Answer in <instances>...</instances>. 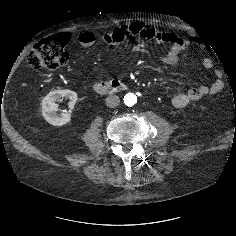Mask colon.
Masks as SVG:
<instances>
[{
    "mask_svg": "<svg viewBox=\"0 0 236 236\" xmlns=\"http://www.w3.org/2000/svg\"><path fill=\"white\" fill-rule=\"evenodd\" d=\"M65 45L66 41L59 35L39 42L27 56L28 66L35 70H55L65 65L69 58Z\"/></svg>",
    "mask_w": 236,
    "mask_h": 236,
    "instance_id": "1",
    "label": "colon"
}]
</instances>
